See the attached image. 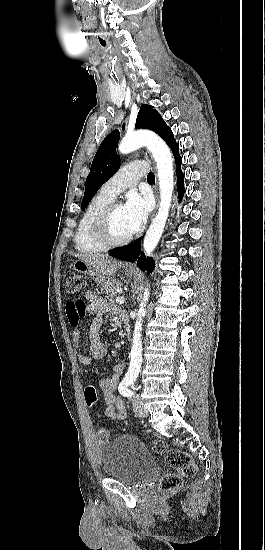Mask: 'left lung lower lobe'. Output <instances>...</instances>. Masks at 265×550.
<instances>
[{
  "label": "left lung lower lobe",
  "instance_id": "1",
  "mask_svg": "<svg viewBox=\"0 0 265 550\" xmlns=\"http://www.w3.org/2000/svg\"><path fill=\"white\" fill-rule=\"evenodd\" d=\"M172 152L175 158L176 162V168H177V181H178V195H179V201L182 200V197L184 195L185 189H184V183H183V173L180 169V165L182 162V158L179 155V145L176 144L172 148ZM141 239L139 238L135 240L134 242L112 250L110 252V255L125 261L135 262L137 261V265L140 267L141 270L145 271L147 270L148 273L152 272L154 269V261H152V258H146L144 253L140 257H138L140 253V243Z\"/></svg>",
  "mask_w": 265,
  "mask_h": 550
}]
</instances>
